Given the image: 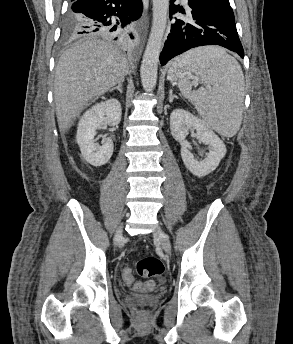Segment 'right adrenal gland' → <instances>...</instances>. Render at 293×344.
I'll return each mask as SVG.
<instances>
[{
    "mask_svg": "<svg viewBox=\"0 0 293 344\" xmlns=\"http://www.w3.org/2000/svg\"><path fill=\"white\" fill-rule=\"evenodd\" d=\"M122 84H123V81L120 82V83H118V85H117L116 87L112 88V89L110 90V92H113L114 90L117 89V90L122 94V93H123V91H122Z\"/></svg>",
    "mask_w": 293,
    "mask_h": 344,
    "instance_id": "2a0ac1e0",
    "label": "right adrenal gland"
}]
</instances>
